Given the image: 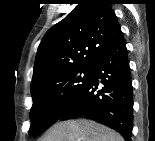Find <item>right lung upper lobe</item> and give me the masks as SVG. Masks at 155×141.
I'll return each instance as SVG.
<instances>
[{
    "instance_id": "obj_1",
    "label": "right lung upper lobe",
    "mask_w": 155,
    "mask_h": 141,
    "mask_svg": "<svg viewBox=\"0 0 155 141\" xmlns=\"http://www.w3.org/2000/svg\"><path fill=\"white\" fill-rule=\"evenodd\" d=\"M120 33L108 0H81L44 35L37 51L31 88L54 75L93 67Z\"/></svg>"
}]
</instances>
